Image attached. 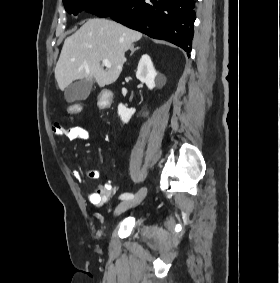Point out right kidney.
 <instances>
[{
    "mask_svg": "<svg viewBox=\"0 0 280 283\" xmlns=\"http://www.w3.org/2000/svg\"><path fill=\"white\" fill-rule=\"evenodd\" d=\"M136 77L145 83L150 90L165 82V77L156 72L151 58L147 54L143 55L139 61ZM134 113V108L128 109L122 103L118 105V115L123 123H128Z\"/></svg>",
    "mask_w": 280,
    "mask_h": 283,
    "instance_id": "right-kidney-1",
    "label": "right kidney"
}]
</instances>
